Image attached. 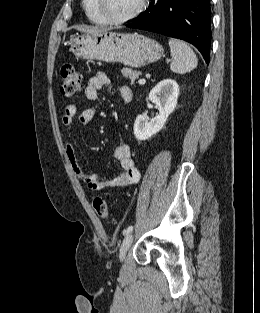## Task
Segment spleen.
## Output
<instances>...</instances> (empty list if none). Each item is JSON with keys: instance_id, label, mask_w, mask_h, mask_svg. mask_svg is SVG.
Returning <instances> with one entry per match:
<instances>
[{"instance_id": "1", "label": "spleen", "mask_w": 260, "mask_h": 313, "mask_svg": "<svg viewBox=\"0 0 260 313\" xmlns=\"http://www.w3.org/2000/svg\"><path fill=\"white\" fill-rule=\"evenodd\" d=\"M172 56L170 69L174 73L184 74L197 67L198 60L194 51L183 41L169 39Z\"/></svg>"}]
</instances>
